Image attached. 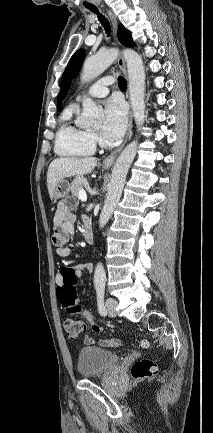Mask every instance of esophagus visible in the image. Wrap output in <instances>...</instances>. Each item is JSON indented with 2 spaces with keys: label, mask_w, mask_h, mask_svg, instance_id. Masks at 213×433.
<instances>
[{
  "label": "esophagus",
  "mask_w": 213,
  "mask_h": 433,
  "mask_svg": "<svg viewBox=\"0 0 213 433\" xmlns=\"http://www.w3.org/2000/svg\"><path fill=\"white\" fill-rule=\"evenodd\" d=\"M108 14L110 16V19L112 21L113 27L116 31L117 26H118V21L115 17V15L108 10ZM118 65L119 67L122 69L123 73L127 76V69H126V64H125V60L124 58L120 55L118 58ZM133 118H132V111H130L129 113V119H128V132L126 135V139L124 141V143L118 147L117 149H115L112 153H110L104 160H103V166L104 167H111L114 164V161L116 159V157L118 156V154L121 152L122 148L124 147L125 143L130 140V138L132 137V126H133Z\"/></svg>",
  "instance_id": "1"
}]
</instances>
